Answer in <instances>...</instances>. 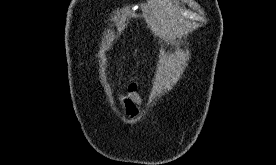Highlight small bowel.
I'll use <instances>...</instances> for the list:
<instances>
[{
	"mask_svg": "<svg viewBox=\"0 0 276 165\" xmlns=\"http://www.w3.org/2000/svg\"><path fill=\"white\" fill-rule=\"evenodd\" d=\"M138 84L135 82L129 83L126 93L119 96L121 103L123 104L126 113L134 117L138 113V105L143 103L142 97L138 93Z\"/></svg>",
	"mask_w": 276,
	"mask_h": 165,
	"instance_id": "obj_1",
	"label": "small bowel"
}]
</instances>
